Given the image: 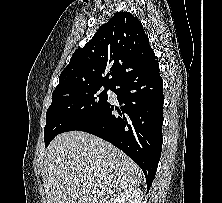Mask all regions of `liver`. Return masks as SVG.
I'll return each mask as SVG.
<instances>
[{
    "label": "liver",
    "instance_id": "liver-1",
    "mask_svg": "<svg viewBox=\"0 0 222 203\" xmlns=\"http://www.w3.org/2000/svg\"><path fill=\"white\" fill-rule=\"evenodd\" d=\"M142 177V170L125 153L82 131L59 134L45 153L47 203H109L138 187Z\"/></svg>",
    "mask_w": 222,
    "mask_h": 203
}]
</instances>
